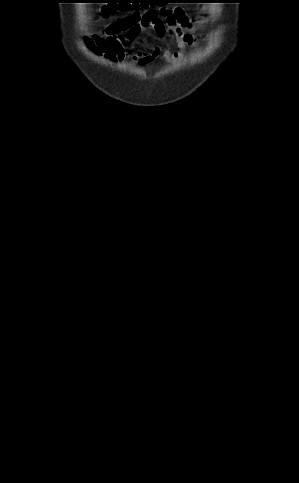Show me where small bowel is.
Segmentation results:
<instances>
[{
    "label": "small bowel",
    "instance_id": "obj_1",
    "mask_svg": "<svg viewBox=\"0 0 299 483\" xmlns=\"http://www.w3.org/2000/svg\"><path fill=\"white\" fill-rule=\"evenodd\" d=\"M165 22L154 10H135L123 18L107 24L100 35L84 39L87 51L112 63L133 62L148 64L160 58L165 62L178 63L185 57L187 46L196 42L192 18L181 8L165 9ZM143 31H150L158 37L171 38L176 50L171 46L161 50L157 46L142 51L133 40ZM126 32L128 37L122 36Z\"/></svg>",
    "mask_w": 299,
    "mask_h": 483
}]
</instances>
